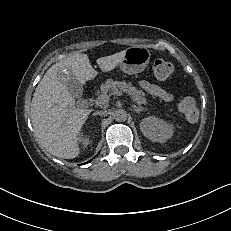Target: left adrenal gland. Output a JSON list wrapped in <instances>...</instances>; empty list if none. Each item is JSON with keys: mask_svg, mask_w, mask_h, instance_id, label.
I'll return each instance as SVG.
<instances>
[{"mask_svg": "<svg viewBox=\"0 0 231 231\" xmlns=\"http://www.w3.org/2000/svg\"><path fill=\"white\" fill-rule=\"evenodd\" d=\"M133 109L136 113H140L143 110H147L146 108L143 107H136L135 105H133Z\"/></svg>", "mask_w": 231, "mask_h": 231, "instance_id": "1", "label": "left adrenal gland"}]
</instances>
